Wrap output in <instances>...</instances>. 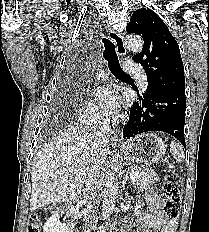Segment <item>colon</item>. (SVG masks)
Listing matches in <instances>:
<instances>
[{
	"label": "colon",
	"mask_w": 209,
	"mask_h": 232,
	"mask_svg": "<svg viewBox=\"0 0 209 232\" xmlns=\"http://www.w3.org/2000/svg\"><path fill=\"white\" fill-rule=\"evenodd\" d=\"M164 211L168 219L175 220L181 207V189L175 173H168L163 182ZM26 232H40L38 215H32L28 221Z\"/></svg>",
	"instance_id": "5ec220e1"
}]
</instances>
